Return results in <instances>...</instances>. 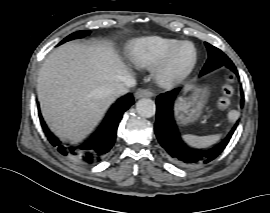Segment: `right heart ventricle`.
I'll list each match as a JSON object with an SVG mask.
<instances>
[{"label":"right heart ventricle","instance_id":"1","mask_svg":"<svg viewBox=\"0 0 270 213\" xmlns=\"http://www.w3.org/2000/svg\"><path fill=\"white\" fill-rule=\"evenodd\" d=\"M178 40L159 36L136 40L129 51L131 60L140 67L149 68L158 63Z\"/></svg>","mask_w":270,"mask_h":213}]
</instances>
